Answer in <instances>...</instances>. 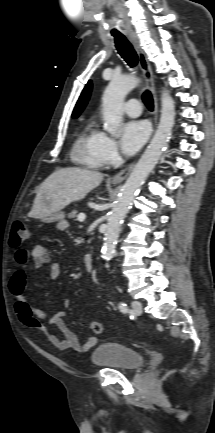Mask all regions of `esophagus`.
I'll return each instance as SVG.
<instances>
[{"instance_id":"34e87169","label":"esophagus","mask_w":215,"mask_h":433,"mask_svg":"<svg viewBox=\"0 0 215 433\" xmlns=\"http://www.w3.org/2000/svg\"><path fill=\"white\" fill-rule=\"evenodd\" d=\"M128 38H129L130 42L132 43V45H133V47H134V49L138 55L140 68L143 72L144 78L146 80V83H147V85L151 91V94H152V97L154 100V124H155L157 121V117H158V98H157V94H156V90H155L154 77H153L151 65H150V63L146 57L145 52L141 48L140 41H139V38L136 35V33L130 32L128 34ZM133 167H134V163L128 165L126 168H124L119 173H117L112 178V183L118 184V183H121L123 180H125L126 177L132 171Z\"/></svg>"}]
</instances>
